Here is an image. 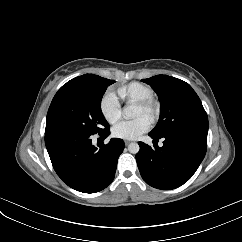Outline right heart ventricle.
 Instances as JSON below:
<instances>
[{"label":"right heart ventricle","instance_id":"e07e8e85","mask_svg":"<svg viewBox=\"0 0 242 242\" xmlns=\"http://www.w3.org/2000/svg\"><path fill=\"white\" fill-rule=\"evenodd\" d=\"M118 97L125 103H137L152 98V90L139 82H132L117 90Z\"/></svg>","mask_w":242,"mask_h":242}]
</instances>
